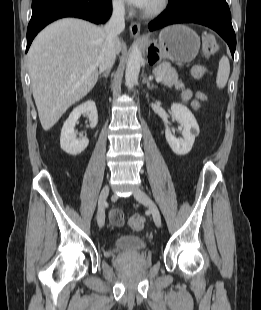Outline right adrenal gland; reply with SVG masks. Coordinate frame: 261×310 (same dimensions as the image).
I'll return each mask as SVG.
<instances>
[{
	"instance_id": "obj_1",
	"label": "right adrenal gland",
	"mask_w": 261,
	"mask_h": 310,
	"mask_svg": "<svg viewBox=\"0 0 261 310\" xmlns=\"http://www.w3.org/2000/svg\"><path fill=\"white\" fill-rule=\"evenodd\" d=\"M99 75H100V77H105L107 79L109 76V71H105L104 73L99 72Z\"/></svg>"
}]
</instances>
